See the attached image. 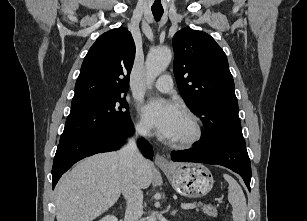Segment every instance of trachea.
I'll list each match as a JSON object with an SVG mask.
<instances>
[{
	"label": "trachea",
	"instance_id": "1",
	"mask_svg": "<svg viewBox=\"0 0 307 221\" xmlns=\"http://www.w3.org/2000/svg\"><path fill=\"white\" fill-rule=\"evenodd\" d=\"M152 13L156 20H159L163 15V9H152Z\"/></svg>",
	"mask_w": 307,
	"mask_h": 221
}]
</instances>
